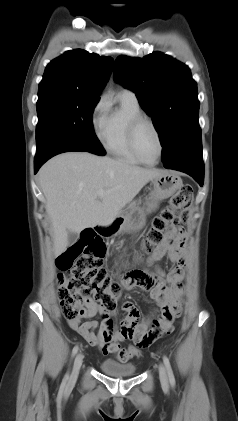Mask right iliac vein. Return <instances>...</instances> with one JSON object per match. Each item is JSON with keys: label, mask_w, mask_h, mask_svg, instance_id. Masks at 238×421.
Returning <instances> with one entry per match:
<instances>
[{"label": "right iliac vein", "mask_w": 238, "mask_h": 421, "mask_svg": "<svg viewBox=\"0 0 238 421\" xmlns=\"http://www.w3.org/2000/svg\"><path fill=\"white\" fill-rule=\"evenodd\" d=\"M83 362V355L81 353H78L74 359V364H73V369H72V373L70 375V382H74L79 374L81 365Z\"/></svg>", "instance_id": "63e3f726"}]
</instances>
